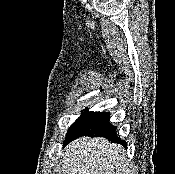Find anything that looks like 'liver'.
I'll return each mask as SVG.
<instances>
[{
  "label": "liver",
  "instance_id": "obj_1",
  "mask_svg": "<svg viewBox=\"0 0 175 174\" xmlns=\"http://www.w3.org/2000/svg\"><path fill=\"white\" fill-rule=\"evenodd\" d=\"M63 174H130L124 148L103 137H81L66 146Z\"/></svg>",
  "mask_w": 175,
  "mask_h": 174
}]
</instances>
